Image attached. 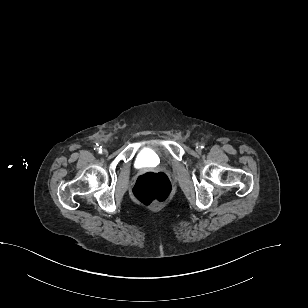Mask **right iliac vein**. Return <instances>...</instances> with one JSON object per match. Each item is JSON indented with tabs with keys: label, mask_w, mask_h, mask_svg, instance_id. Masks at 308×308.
Instances as JSON below:
<instances>
[{
	"label": "right iliac vein",
	"mask_w": 308,
	"mask_h": 308,
	"mask_svg": "<svg viewBox=\"0 0 308 308\" xmlns=\"http://www.w3.org/2000/svg\"><path fill=\"white\" fill-rule=\"evenodd\" d=\"M103 152H104V153H107V151H106V150H103Z\"/></svg>",
	"instance_id": "right-iliac-vein-1"
}]
</instances>
